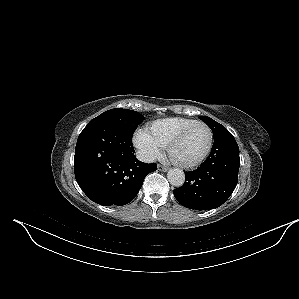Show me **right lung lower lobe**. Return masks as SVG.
<instances>
[{
  "label": "right lung lower lobe",
  "mask_w": 299,
  "mask_h": 299,
  "mask_svg": "<svg viewBox=\"0 0 299 299\" xmlns=\"http://www.w3.org/2000/svg\"><path fill=\"white\" fill-rule=\"evenodd\" d=\"M133 152L132 136L118 126L101 120L87 124L75 148L74 172L89 199L122 206L136 197L157 165L139 161Z\"/></svg>",
  "instance_id": "98d812e1"
}]
</instances>
